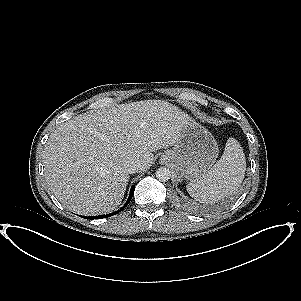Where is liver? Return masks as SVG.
<instances>
[{
	"mask_svg": "<svg viewBox=\"0 0 301 301\" xmlns=\"http://www.w3.org/2000/svg\"><path fill=\"white\" fill-rule=\"evenodd\" d=\"M188 120L175 105L144 101L77 116L56 128L45 145L47 184L71 211L112 212L124 198L128 165L150 168L152 152L175 145Z\"/></svg>",
	"mask_w": 301,
	"mask_h": 301,
	"instance_id": "6515ba94",
	"label": "liver"
}]
</instances>
